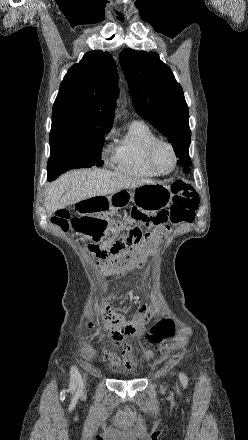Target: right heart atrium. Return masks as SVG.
<instances>
[{
  "mask_svg": "<svg viewBox=\"0 0 248 440\" xmlns=\"http://www.w3.org/2000/svg\"><path fill=\"white\" fill-rule=\"evenodd\" d=\"M110 151H111V148H110L109 146H105V147L103 148V151H102V157H103L104 161L107 162V163H108L110 160H112V158H109V153H110Z\"/></svg>",
  "mask_w": 248,
  "mask_h": 440,
  "instance_id": "1",
  "label": "right heart atrium"
}]
</instances>
